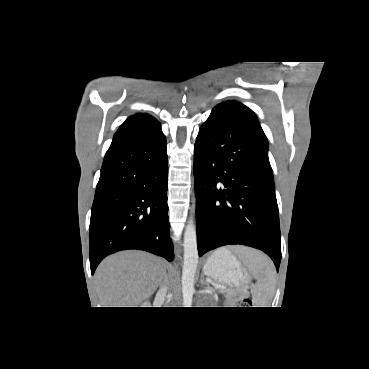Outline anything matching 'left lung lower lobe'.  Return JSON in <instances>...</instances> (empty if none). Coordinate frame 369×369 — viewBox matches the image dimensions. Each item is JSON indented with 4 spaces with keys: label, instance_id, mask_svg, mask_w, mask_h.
<instances>
[{
    "label": "left lung lower lobe",
    "instance_id": "0a47b994",
    "mask_svg": "<svg viewBox=\"0 0 369 369\" xmlns=\"http://www.w3.org/2000/svg\"><path fill=\"white\" fill-rule=\"evenodd\" d=\"M197 246L202 256L230 244L281 260V235L267 139L240 116L213 110L194 148Z\"/></svg>",
    "mask_w": 369,
    "mask_h": 369
}]
</instances>
